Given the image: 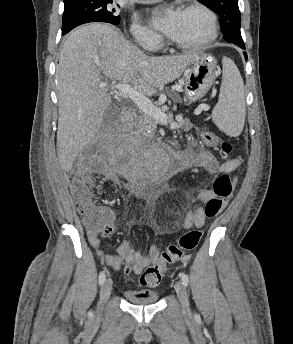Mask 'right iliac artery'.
Segmentation results:
<instances>
[{
	"mask_svg": "<svg viewBox=\"0 0 293 344\" xmlns=\"http://www.w3.org/2000/svg\"><path fill=\"white\" fill-rule=\"evenodd\" d=\"M106 276H105V272H101L99 275V284L103 285V283L105 282Z\"/></svg>",
	"mask_w": 293,
	"mask_h": 344,
	"instance_id": "1",
	"label": "right iliac artery"
}]
</instances>
